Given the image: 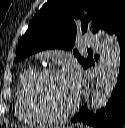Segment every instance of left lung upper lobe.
<instances>
[{
	"label": "left lung upper lobe",
	"instance_id": "left-lung-upper-lobe-1",
	"mask_svg": "<svg viewBox=\"0 0 125 128\" xmlns=\"http://www.w3.org/2000/svg\"><path fill=\"white\" fill-rule=\"evenodd\" d=\"M125 24V0H51L35 14L16 48L15 62L53 48L72 49L78 33L115 34ZM73 54L86 69L94 60Z\"/></svg>",
	"mask_w": 125,
	"mask_h": 128
}]
</instances>
